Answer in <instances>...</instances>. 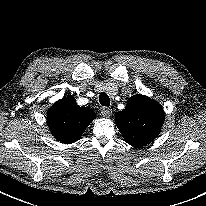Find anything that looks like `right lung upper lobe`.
I'll return each mask as SVG.
<instances>
[{"label":"right lung upper lobe","mask_w":206,"mask_h":206,"mask_svg":"<svg viewBox=\"0 0 206 206\" xmlns=\"http://www.w3.org/2000/svg\"><path fill=\"white\" fill-rule=\"evenodd\" d=\"M94 118L95 113L91 109L78 106L75 99L68 96L57 101L47 114L52 135L64 144L79 140Z\"/></svg>","instance_id":"right-lung-upper-lobe-1"}]
</instances>
